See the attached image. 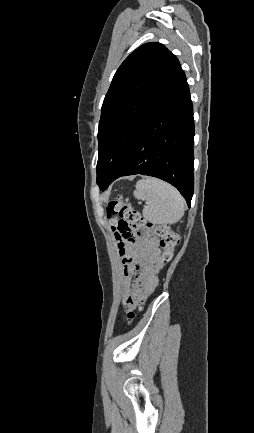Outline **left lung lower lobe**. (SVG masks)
<instances>
[{"label":"left lung lower lobe","mask_w":254,"mask_h":433,"mask_svg":"<svg viewBox=\"0 0 254 433\" xmlns=\"http://www.w3.org/2000/svg\"><path fill=\"white\" fill-rule=\"evenodd\" d=\"M194 120L189 86L183 71L139 130L127 155L100 185L132 174L160 178L175 186L188 206L194 190Z\"/></svg>","instance_id":"1"}]
</instances>
